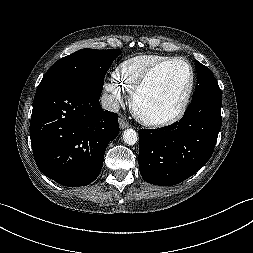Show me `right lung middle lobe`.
<instances>
[{"instance_id":"dd1d6c3e","label":"right lung middle lobe","mask_w":253,"mask_h":253,"mask_svg":"<svg viewBox=\"0 0 253 253\" xmlns=\"http://www.w3.org/2000/svg\"><path fill=\"white\" fill-rule=\"evenodd\" d=\"M120 53V50H78L56 61L38 87L52 82H73L102 90L105 74Z\"/></svg>"}]
</instances>
